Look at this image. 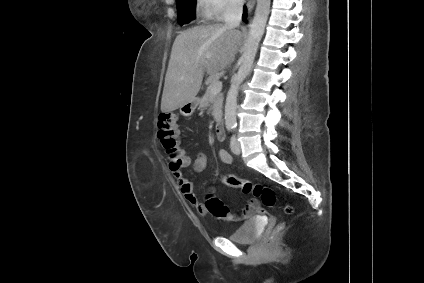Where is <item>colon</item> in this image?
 I'll list each match as a JSON object with an SVG mask.
<instances>
[{
	"label": "colon",
	"mask_w": 424,
	"mask_h": 283,
	"mask_svg": "<svg viewBox=\"0 0 424 283\" xmlns=\"http://www.w3.org/2000/svg\"><path fill=\"white\" fill-rule=\"evenodd\" d=\"M158 139L168 155L169 166L172 171H177L188 165V156L179 146V135L177 129V116L172 113L161 114L157 122ZM222 183L230 188L240 189L245 194H252L259 198L267 207H272L277 202V196L273 189L259 183H253L247 179L237 177L232 174H225L221 177ZM207 212L218 220L232 221L233 214L223 202L213 195H208L205 201ZM256 208L255 200H251L247 205L245 213L251 215ZM287 214H292L294 209L287 204L284 207ZM281 226L277 228L280 230Z\"/></svg>",
	"instance_id": "colon-1"
}]
</instances>
